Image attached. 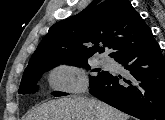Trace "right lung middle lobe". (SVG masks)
<instances>
[{
    "label": "right lung middle lobe",
    "instance_id": "obj_1",
    "mask_svg": "<svg viewBox=\"0 0 165 120\" xmlns=\"http://www.w3.org/2000/svg\"><path fill=\"white\" fill-rule=\"evenodd\" d=\"M88 58L82 59H53V60H43L34 64H30L24 71L21 84L19 87V94H29L33 90H37L36 83L42 76V74L59 64H71L75 66H83L90 69L87 62ZM93 72H98L97 76L90 77V86L94 85L98 81L105 78L109 72L103 71L101 69H94ZM54 96H64L66 93L54 92Z\"/></svg>",
    "mask_w": 165,
    "mask_h": 120
}]
</instances>
